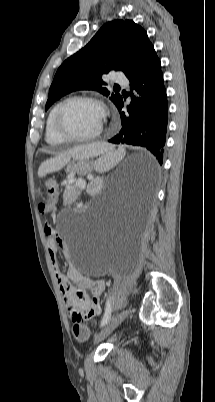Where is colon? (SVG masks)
Returning a JSON list of instances; mask_svg holds the SVG:
<instances>
[{
	"label": "colon",
	"mask_w": 215,
	"mask_h": 402,
	"mask_svg": "<svg viewBox=\"0 0 215 402\" xmlns=\"http://www.w3.org/2000/svg\"><path fill=\"white\" fill-rule=\"evenodd\" d=\"M46 197L41 203V212L47 213L54 208L57 197L58 184L55 179L49 178L45 182ZM73 332L78 340L84 341L89 337L88 328L80 322L79 318L74 320Z\"/></svg>",
	"instance_id": "colon-1"
}]
</instances>
